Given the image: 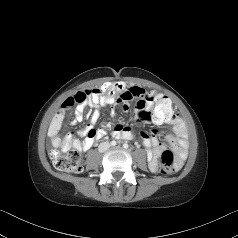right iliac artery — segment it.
I'll use <instances>...</instances> for the list:
<instances>
[{"label":"right iliac artery","instance_id":"obj_1","mask_svg":"<svg viewBox=\"0 0 238 238\" xmlns=\"http://www.w3.org/2000/svg\"><path fill=\"white\" fill-rule=\"evenodd\" d=\"M116 144H117L116 141H114V140L111 141V145H112V146H115Z\"/></svg>","mask_w":238,"mask_h":238}]
</instances>
